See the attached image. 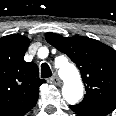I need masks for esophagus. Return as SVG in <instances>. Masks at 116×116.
<instances>
[{"label":"esophagus","instance_id":"obj_1","mask_svg":"<svg viewBox=\"0 0 116 116\" xmlns=\"http://www.w3.org/2000/svg\"><path fill=\"white\" fill-rule=\"evenodd\" d=\"M51 83H53L54 85H60L61 84V80L59 77H57L56 75H54L53 77L50 78Z\"/></svg>","mask_w":116,"mask_h":116}]
</instances>
